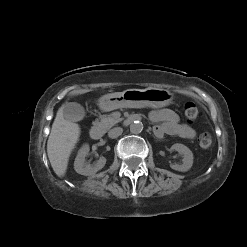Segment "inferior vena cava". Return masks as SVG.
<instances>
[{
    "label": "inferior vena cava",
    "instance_id": "inferior-vena-cava-1",
    "mask_svg": "<svg viewBox=\"0 0 247 247\" xmlns=\"http://www.w3.org/2000/svg\"><path fill=\"white\" fill-rule=\"evenodd\" d=\"M123 132V129L121 127H116V128H113L111 129L109 132H108V136L112 139L114 138H117L118 136H120Z\"/></svg>",
    "mask_w": 247,
    "mask_h": 247
}]
</instances>
